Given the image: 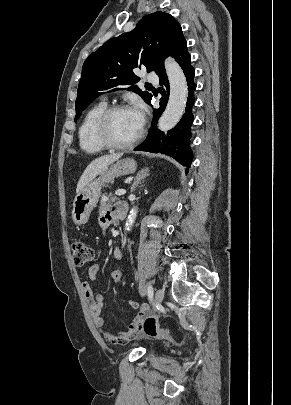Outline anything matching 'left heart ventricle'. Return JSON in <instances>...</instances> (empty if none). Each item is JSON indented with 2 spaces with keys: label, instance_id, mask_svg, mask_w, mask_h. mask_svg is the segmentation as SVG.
<instances>
[{
  "label": "left heart ventricle",
  "instance_id": "b2bd125f",
  "mask_svg": "<svg viewBox=\"0 0 291 405\" xmlns=\"http://www.w3.org/2000/svg\"><path fill=\"white\" fill-rule=\"evenodd\" d=\"M112 138L120 143L131 141L140 131L131 109L117 112L111 119Z\"/></svg>",
  "mask_w": 291,
  "mask_h": 405
}]
</instances>
